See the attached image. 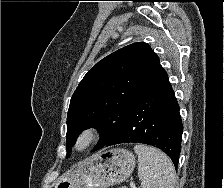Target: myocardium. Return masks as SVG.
I'll return each mask as SVG.
<instances>
[{"instance_id": "1", "label": "myocardium", "mask_w": 224, "mask_h": 188, "mask_svg": "<svg viewBox=\"0 0 224 188\" xmlns=\"http://www.w3.org/2000/svg\"><path fill=\"white\" fill-rule=\"evenodd\" d=\"M99 137L100 129L97 126H86L76 136L73 150L77 153H83L90 149L98 141Z\"/></svg>"}]
</instances>
